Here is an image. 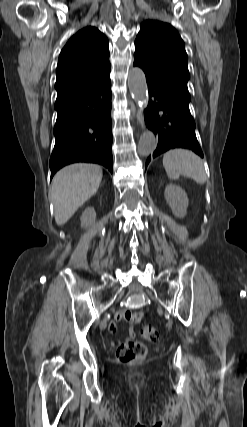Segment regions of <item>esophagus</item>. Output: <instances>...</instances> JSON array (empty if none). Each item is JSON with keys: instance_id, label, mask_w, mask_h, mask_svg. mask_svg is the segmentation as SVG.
I'll list each match as a JSON object with an SVG mask.
<instances>
[{"instance_id": "obj_1", "label": "esophagus", "mask_w": 247, "mask_h": 427, "mask_svg": "<svg viewBox=\"0 0 247 427\" xmlns=\"http://www.w3.org/2000/svg\"><path fill=\"white\" fill-rule=\"evenodd\" d=\"M136 117H137L138 124H140L143 127L144 126V122H143V116H142L141 109H138Z\"/></svg>"}]
</instances>
